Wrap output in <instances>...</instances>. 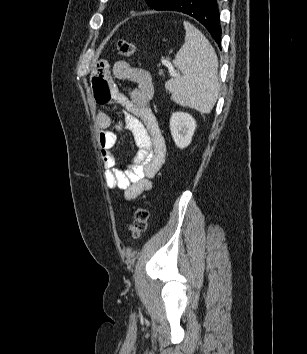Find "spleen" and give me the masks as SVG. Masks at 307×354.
<instances>
[{
	"instance_id": "1",
	"label": "spleen",
	"mask_w": 307,
	"mask_h": 354,
	"mask_svg": "<svg viewBox=\"0 0 307 354\" xmlns=\"http://www.w3.org/2000/svg\"><path fill=\"white\" fill-rule=\"evenodd\" d=\"M185 42L175 56L174 65L182 75L169 80L165 87L171 99L182 106L208 114L219 93L218 58L206 37L184 22Z\"/></svg>"
}]
</instances>
